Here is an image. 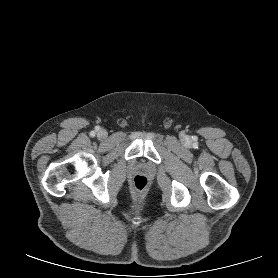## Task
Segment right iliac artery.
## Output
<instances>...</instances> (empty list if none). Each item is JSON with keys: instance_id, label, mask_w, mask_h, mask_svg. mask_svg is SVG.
<instances>
[{"instance_id": "obj_1", "label": "right iliac artery", "mask_w": 278, "mask_h": 278, "mask_svg": "<svg viewBox=\"0 0 278 278\" xmlns=\"http://www.w3.org/2000/svg\"><path fill=\"white\" fill-rule=\"evenodd\" d=\"M91 135H92V136H94V135H95V132H94V131H92V132H91Z\"/></svg>"}]
</instances>
